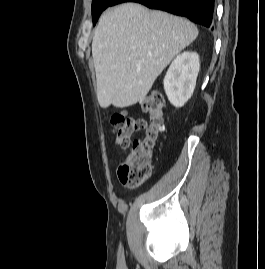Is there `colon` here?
Listing matches in <instances>:
<instances>
[{
  "mask_svg": "<svg viewBox=\"0 0 265 269\" xmlns=\"http://www.w3.org/2000/svg\"><path fill=\"white\" fill-rule=\"evenodd\" d=\"M141 107L150 118V125L142 119L128 117L124 113H115L111 117V126L116 135V144L123 150L131 146L126 161L118 169V177L126 186H137L146 182L152 171V161L159 133L164 123V98L159 93H150L142 101ZM146 129L142 140L131 144V136L137 131Z\"/></svg>",
  "mask_w": 265,
  "mask_h": 269,
  "instance_id": "1",
  "label": "colon"
}]
</instances>
